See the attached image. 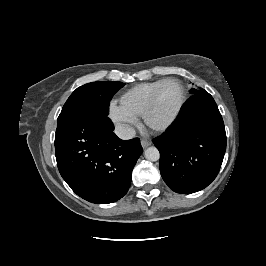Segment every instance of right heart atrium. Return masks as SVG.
Listing matches in <instances>:
<instances>
[{"mask_svg":"<svg viewBox=\"0 0 266 266\" xmlns=\"http://www.w3.org/2000/svg\"><path fill=\"white\" fill-rule=\"evenodd\" d=\"M108 113L112 122L122 129L128 130L137 123V116L115 100L110 101Z\"/></svg>","mask_w":266,"mask_h":266,"instance_id":"right-heart-atrium-1","label":"right heart atrium"}]
</instances>
